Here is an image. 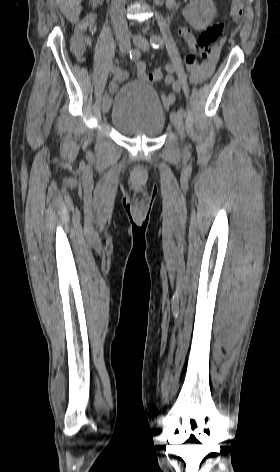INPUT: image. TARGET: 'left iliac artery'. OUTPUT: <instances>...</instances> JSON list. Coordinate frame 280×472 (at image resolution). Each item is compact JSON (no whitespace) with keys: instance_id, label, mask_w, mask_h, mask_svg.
Here are the masks:
<instances>
[{"instance_id":"obj_1","label":"left iliac artery","mask_w":280,"mask_h":472,"mask_svg":"<svg viewBox=\"0 0 280 472\" xmlns=\"http://www.w3.org/2000/svg\"><path fill=\"white\" fill-rule=\"evenodd\" d=\"M150 43L153 48H159L163 44V40L159 36L154 35L150 38ZM165 69L170 74L175 72V67L172 64H167ZM170 78L173 91L179 92L181 90V83L178 80H174L172 77ZM177 113L181 116L186 115V112L182 107L178 108Z\"/></svg>"}]
</instances>
